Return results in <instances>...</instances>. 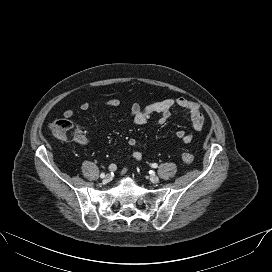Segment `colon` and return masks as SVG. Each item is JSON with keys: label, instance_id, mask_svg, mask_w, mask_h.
<instances>
[{"label": "colon", "instance_id": "5ec220e1", "mask_svg": "<svg viewBox=\"0 0 272 272\" xmlns=\"http://www.w3.org/2000/svg\"><path fill=\"white\" fill-rule=\"evenodd\" d=\"M50 131L54 137L63 141H78L82 139V132L78 125L68 118H59L50 124ZM194 156L190 152L182 153V161L192 163Z\"/></svg>", "mask_w": 272, "mask_h": 272}]
</instances>
